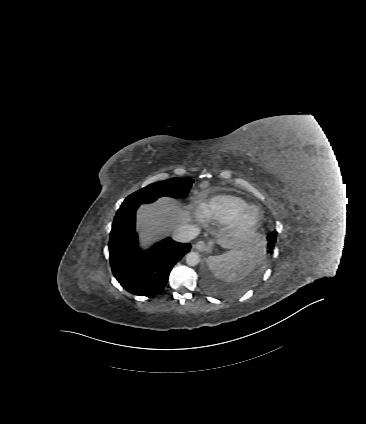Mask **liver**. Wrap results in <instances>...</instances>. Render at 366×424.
I'll use <instances>...</instances> for the list:
<instances>
[{"label": "liver", "mask_w": 366, "mask_h": 424, "mask_svg": "<svg viewBox=\"0 0 366 424\" xmlns=\"http://www.w3.org/2000/svg\"><path fill=\"white\" fill-rule=\"evenodd\" d=\"M191 220L190 211L169 197H162L154 204L142 205L137 213L139 242L143 248L148 249L159 241L161 236L174 233L177 228L188 224ZM254 241L253 234L243 231L229 241L221 238L219 244L227 248H240L252 245Z\"/></svg>", "instance_id": "6515ba94"}]
</instances>
